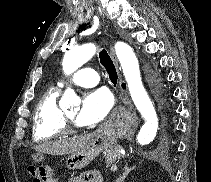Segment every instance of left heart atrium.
<instances>
[{
  "label": "left heart atrium",
  "mask_w": 211,
  "mask_h": 182,
  "mask_svg": "<svg viewBox=\"0 0 211 182\" xmlns=\"http://www.w3.org/2000/svg\"><path fill=\"white\" fill-rule=\"evenodd\" d=\"M112 96L108 90L100 88L85 94L77 116L81 126H92L102 121L112 107Z\"/></svg>",
  "instance_id": "left-heart-atrium-1"
}]
</instances>
